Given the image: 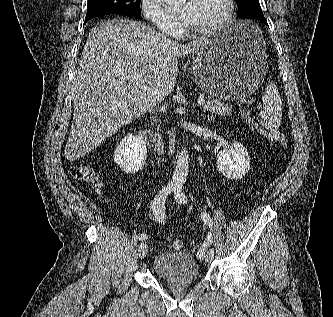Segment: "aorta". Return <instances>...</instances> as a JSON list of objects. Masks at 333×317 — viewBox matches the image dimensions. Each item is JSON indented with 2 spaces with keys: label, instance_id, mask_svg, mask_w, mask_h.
Wrapping results in <instances>:
<instances>
[{
  "label": "aorta",
  "instance_id": "aorta-1",
  "mask_svg": "<svg viewBox=\"0 0 333 317\" xmlns=\"http://www.w3.org/2000/svg\"><path fill=\"white\" fill-rule=\"evenodd\" d=\"M166 3L177 4L183 0H163ZM189 170V155L187 150L184 148L179 153L172 182L176 185H183L186 181Z\"/></svg>",
  "mask_w": 333,
  "mask_h": 317
}]
</instances>
